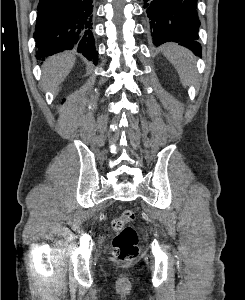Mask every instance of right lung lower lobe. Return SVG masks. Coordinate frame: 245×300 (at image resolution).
Returning <instances> with one entry per match:
<instances>
[{"label": "right lung lower lobe", "instance_id": "obj_1", "mask_svg": "<svg viewBox=\"0 0 245 300\" xmlns=\"http://www.w3.org/2000/svg\"><path fill=\"white\" fill-rule=\"evenodd\" d=\"M92 0H40L33 34L37 57L75 49L96 64Z\"/></svg>", "mask_w": 245, "mask_h": 300}]
</instances>
